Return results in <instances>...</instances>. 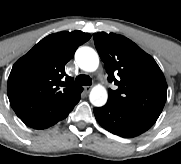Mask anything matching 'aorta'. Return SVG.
<instances>
[{
  "label": "aorta",
  "mask_w": 181,
  "mask_h": 164,
  "mask_svg": "<svg viewBox=\"0 0 181 164\" xmlns=\"http://www.w3.org/2000/svg\"><path fill=\"white\" fill-rule=\"evenodd\" d=\"M75 60L77 65L86 72H94L99 66L98 54L90 47H80L76 51ZM89 99L92 105L101 107L107 102V90L102 85H96L92 88Z\"/></svg>",
  "instance_id": "762f6f07"
}]
</instances>
